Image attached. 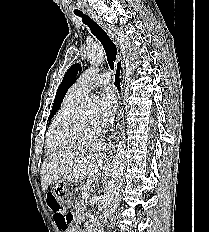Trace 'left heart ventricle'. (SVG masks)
Returning a JSON list of instances; mask_svg holds the SVG:
<instances>
[{
    "mask_svg": "<svg viewBox=\"0 0 209 232\" xmlns=\"http://www.w3.org/2000/svg\"><path fill=\"white\" fill-rule=\"evenodd\" d=\"M82 123L87 129H94L97 124V113L94 109H83L82 111Z\"/></svg>",
    "mask_w": 209,
    "mask_h": 232,
    "instance_id": "obj_1",
    "label": "left heart ventricle"
}]
</instances>
